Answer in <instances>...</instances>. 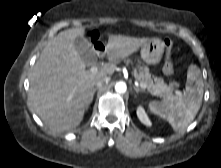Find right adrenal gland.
<instances>
[{
    "label": "right adrenal gland",
    "instance_id": "obj_1",
    "mask_svg": "<svg viewBox=\"0 0 221 168\" xmlns=\"http://www.w3.org/2000/svg\"><path fill=\"white\" fill-rule=\"evenodd\" d=\"M98 90V87H95L94 89H93V91H92V93H91V95H90V98H89V100H88V102H87V108L90 106V104L92 103V101H93V97H94V94H95V92Z\"/></svg>",
    "mask_w": 221,
    "mask_h": 168
}]
</instances>
